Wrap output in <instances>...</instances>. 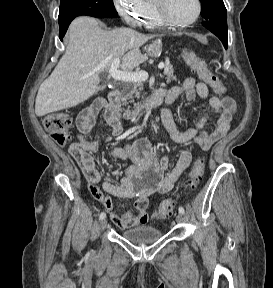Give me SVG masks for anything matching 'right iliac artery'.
<instances>
[{"mask_svg": "<svg viewBox=\"0 0 273 288\" xmlns=\"http://www.w3.org/2000/svg\"><path fill=\"white\" fill-rule=\"evenodd\" d=\"M105 217H106V213H105V212H102V213L100 214V216H99V219H100V220H103V219H105Z\"/></svg>", "mask_w": 273, "mask_h": 288, "instance_id": "right-iliac-artery-1", "label": "right iliac artery"}]
</instances>
